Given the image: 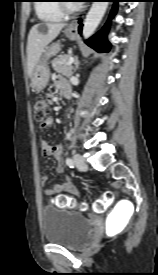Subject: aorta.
I'll return each mask as SVG.
<instances>
[{
  "label": "aorta",
  "mask_w": 158,
  "mask_h": 275,
  "mask_svg": "<svg viewBox=\"0 0 158 275\" xmlns=\"http://www.w3.org/2000/svg\"><path fill=\"white\" fill-rule=\"evenodd\" d=\"M107 7L108 2H93L84 22V38H88L94 33L100 21L102 20Z\"/></svg>",
  "instance_id": "762f6f07"
}]
</instances>
